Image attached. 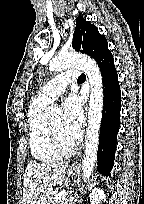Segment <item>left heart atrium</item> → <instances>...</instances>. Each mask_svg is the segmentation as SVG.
<instances>
[{
	"mask_svg": "<svg viewBox=\"0 0 144 204\" xmlns=\"http://www.w3.org/2000/svg\"><path fill=\"white\" fill-rule=\"evenodd\" d=\"M64 132L71 140H76L83 127V109L77 97H68L63 103Z\"/></svg>",
	"mask_w": 144,
	"mask_h": 204,
	"instance_id": "left-heart-atrium-1",
	"label": "left heart atrium"
}]
</instances>
